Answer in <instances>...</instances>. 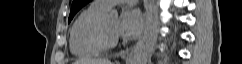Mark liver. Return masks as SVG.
<instances>
[{"mask_svg": "<svg viewBox=\"0 0 242 64\" xmlns=\"http://www.w3.org/2000/svg\"><path fill=\"white\" fill-rule=\"evenodd\" d=\"M74 64H113L107 59H86L76 61Z\"/></svg>", "mask_w": 242, "mask_h": 64, "instance_id": "1", "label": "liver"}]
</instances>
